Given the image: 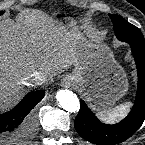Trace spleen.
<instances>
[{"mask_svg":"<svg viewBox=\"0 0 145 145\" xmlns=\"http://www.w3.org/2000/svg\"><path fill=\"white\" fill-rule=\"evenodd\" d=\"M129 107L128 103L120 104L113 109L101 113V117L109 122H115L117 119L124 116Z\"/></svg>","mask_w":145,"mask_h":145,"instance_id":"1","label":"spleen"}]
</instances>
